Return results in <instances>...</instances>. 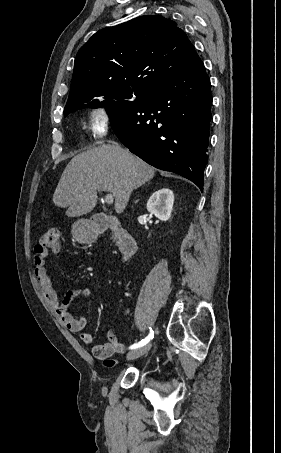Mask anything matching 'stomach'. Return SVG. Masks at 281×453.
Listing matches in <instances>:
<instances>
[{
    "mask_svg": "<svg viewBox=\"0 0 281 453\" xmlns=\"http://www.w3.org/2000/svg\"><path fill=\"white\" fill-rule=\"evenodd\" d=\"M71 233L75 241H78V243H85V245L93 243L95 239V229L91 227L89 220H86V218L73 222Z\"/></svg>",
    "mask_w": 281,
    "mask_h": 453,
    "instance_id": "0dacf381",
    "label": "stomach"
}]
</instances>
